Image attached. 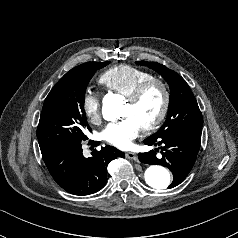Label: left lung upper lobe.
Instances as JSON below:
<instances>
[{
    "label": "left lung upper lobe",
    "mask_w": 238,
    "mask_h": 238,
    "mask_svg": "<svg viewBox=\"0 0 238 238\" xmlns=\"http://www.w3.org/2000/svg\"><path fill=\"white\" fill-rule=\"evenodd\" d=\"M158 72L170 86L169 109L165 123L150 137H159L177 131H202L203 117L187 82L162 64L137 61Z\"/></svg>",
    "instance_id": "5c2ea615"
}]
</instances>
